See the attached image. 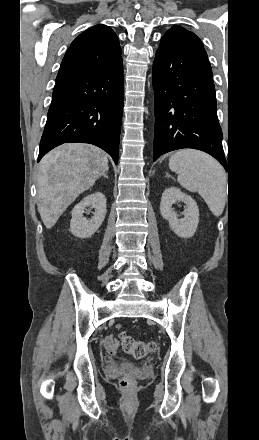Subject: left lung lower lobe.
Segmentation results:
<instances>
[{
  "label": "left lung lower lobe",
  "instance_id": "1",
  "mask_svg": "<svg viewBox=\"0 0 259 440\" xmlns=\"http://www.w3.org/2000/svg\"><path fill=\"white\" fill-rule=\"evenodd\" d=\"M155 97L153 161L182 149L202 150L226 169L215 87L205 49L162 38L152 73Z\"/></svg>",
  "mask_w": 259,
  "mask_h": 440
}]
</instances>
